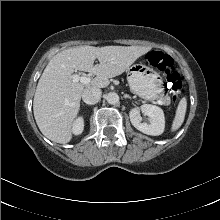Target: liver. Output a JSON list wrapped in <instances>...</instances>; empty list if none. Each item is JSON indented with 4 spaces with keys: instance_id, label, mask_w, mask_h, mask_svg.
Returning <instances> with one entry per match:
<instances>
[{
    "instance_id": "6515ba94",
    "label": "liver",
    "mask_w": 220,
    "mask_h": 220,
    "mask_svg": "<svg viewBox=\"0 0 220 220\" xmlns=\"http://www.w3.org/2000/svg\"><path fill=\"white\" fill-rule=\"evenodd\" d=\"M150 50L141 46H79L56 54L44 69L33 100L34 117L42 134L53 142H70L84 88L107 87L109 78L125 72ZM95 59L99 64L94 65ZM76 70L96 77L86 85L73 82Z\"/></svg>"
}]
</instances>
